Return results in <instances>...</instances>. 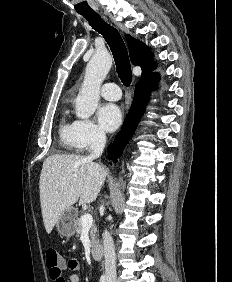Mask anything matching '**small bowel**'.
<instances>
[{
    "label": "small bowel",
    "mask_w": 232,
    "mask_h": 282,
    "mask_svg": "<svg viewBox=\"0 0 232 282\" xmlns=\"http://www.w3.org/2000/svg\"><path fill=\"white\" fill-rule=\"evenodd\" d=\"M62 269L77 271L81 269V264L77 259L71 258L68 261L63 262ZM50 277L53 282H65V279L61 274L59 276H53L50 274ZM69 282H81V277L78 274L73 273L69 276Z\"/></svg>",
    "instance_id": "1"
}]
</instances>
